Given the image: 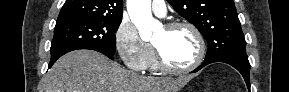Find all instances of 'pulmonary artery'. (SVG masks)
<instances>
[{
  "mask_svg": "<svg viewBox=\"0 0 289 92\" xmlns=\"http://www.w3.org/2000/svg\"><path fill=\"white\" fill-rule=\"evenodd\" d=\"M151 7L153 13L159 17H164L167 13L166 4L163 0H153Z\"/></svg>",
  "mask_w": 289,
  "mask_h": 92,
  "instance_id": "pulmonary-artery-1",
  "label": "pulmonary artery"
}]
</instances>
